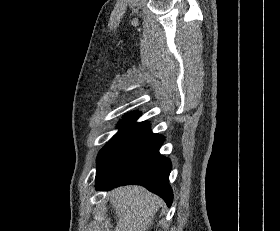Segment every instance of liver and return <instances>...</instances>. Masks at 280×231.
<instances>
[{
  "label": "liver",
  "instance_id": "6515ba94",
  "mask_svg": "<svg viewBox=\"0 0 280 231\" xmlns=\"http://www.w3.org/2000/svg\"><path fill=\"white\" fill-rule=\"evenodd\" d=\"M163 201L140 185H125L111 191V205L119 217L115 231H146Z\"/></svg>",
  "mask_w": 280,
  "mask_h": 231
}]
</instances>
